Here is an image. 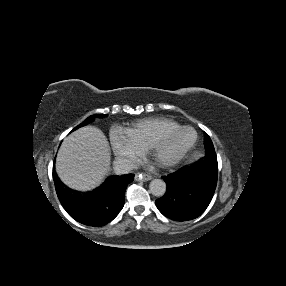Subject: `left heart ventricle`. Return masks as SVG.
Here are the masks:
<instances>
[{
	"mask_svg": "<svg viewBox=\"0 0 286 286\" xmlns=\"http://www.w3.org/2000/svg\"><path fill=\"white\" fill-rule=\"evenodd\" d=\"M194 140V132L186 130L177 136L163 151V156L171 157L179 154Z\"/></svg>",
	"mask_w": 286,
	"mask_h": 286,
	"instance_id": "1",
	"label": "left heart ventricle"
}]
</instances>
